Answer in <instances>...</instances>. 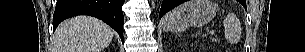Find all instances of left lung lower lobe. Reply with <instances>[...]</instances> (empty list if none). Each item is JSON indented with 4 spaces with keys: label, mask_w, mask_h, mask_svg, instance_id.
<instances>
[{
    "label": "left lung lower lobe",
    "mask_w": 305,
    "mask_h": 52,
    "mask_svg": "<svg viewBox=\"0 0 305 52\" xmlns=\"http://www.w3.org/2000/svg\"><path fill=\"white\" fill-rule=\"evenodd\" d=\"M183 2H185V0H163L161 9H160L159 18H161L166 12L170 11L175 6H177Z\"/></svg>",
    "instance_id": "left-lung-lower-lobe-1"
}]
</instances>
